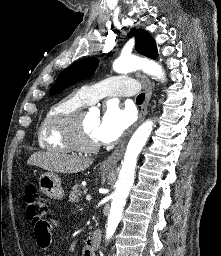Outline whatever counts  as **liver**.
Instances as JSON below:
<instances>
[{"instance_id": "1", "label": "liver", "mask_w": 221, "mask_h": 256, "mask_svg": "<svg viewBox=\"0 0 221 256\" xmlns=\"http://www.w3.org/2000/svg\"><path fill=\"white\" fill-rule=\"evenodd\" d=\"M92 159L58 152H35L27 161L28 165L40 167L49 172L78 173L86 170Z\"/></svg>"}]
</instances>
